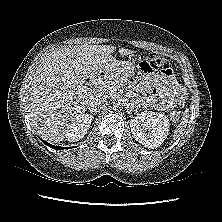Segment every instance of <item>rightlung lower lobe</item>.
Segmentation results:
<instances>
[{"mask_svg": "<svg viewBox=\"0 0 222 222\" xmlns=\"http://www.w3.org/2000/svg\"><path fill=\"white\" fill-rule=\"evenodd\" d=\"M45 144H47L49 147L53 148V149H64V147H58V146H54V145H51L47 142H45L44 140H42Z\"/></svg>", "mask_w": 222, "mask_h": 222, "instance_id": "98d812e1", "label": "right lung lower lobe"}]
</instances>
